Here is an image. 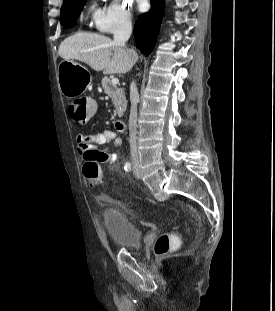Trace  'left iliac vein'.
Returning a JSON list of instances; mask_svg holds the SVG:
<instances>
[{"instance_id": "obj_1", "label": "left iliac vein", "mask_w": 275, "mask_h": 311, "mask_svg": "<svg viewBox=\"0 0 275 311\" xmlns=\"http://www.w3.org/2000/svg\"><path fill=\"white\" fill-rule=\"evenodd\" d=\"M133 173L137 178H141L138 159H135L133 162Z\"/></svg>"}]
</instances>
